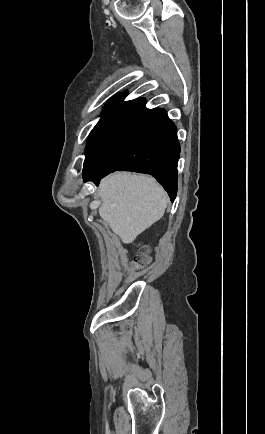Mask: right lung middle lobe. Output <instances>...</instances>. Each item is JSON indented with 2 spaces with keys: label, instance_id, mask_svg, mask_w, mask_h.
<instances>
[{
  "label": "right lung middle lobe",
  "instance_id": "dd1d6c3e",
  "mask_svg": "<svg viewBox=\"0 0 265 434\" xmlns=\"http://www.w3.org/2000/svg\"><path fill=\"white\" fill-rule=\"evenodd\" d=\"M121 95H117L114 98H112L107 106L105 107L106 112L105 115L100 119V121L96 124V126L93 128V130L91 131L89 137H88V141H87V146H86V154L88 153L92 143L94 142L95 138L97 137L98 133L100 132V129L103 125V123L105 122L107 116L109 115V113L111 112L112 108L114 107V105L116 104V102L118 101V99L120 98Z\"/></svg>",
  "mask_w": 265,
  "mask_h": 434
}]
</instances>
